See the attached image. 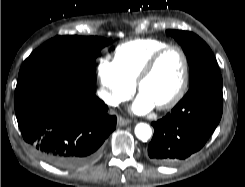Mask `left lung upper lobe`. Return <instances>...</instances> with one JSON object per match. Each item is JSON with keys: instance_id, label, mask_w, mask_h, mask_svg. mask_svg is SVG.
Listing matches in <instances>:
<instances>
[{"instance_id": "1", "label": "left lung upper lobe", "mask_w": 245, "mask_h": 187, "mask_svg": "<svg viewBox=\"0 0 245 187\" xmlns=\"http://www.w3.org/2000/svg\"><path fill=\"white\" fill-rule=\"evenodd\" d=\"M182 46L190 68V87L208 77L219 75L216 59L208 45L188 31L167 30Z\"/></svg>"}]
</instances>
